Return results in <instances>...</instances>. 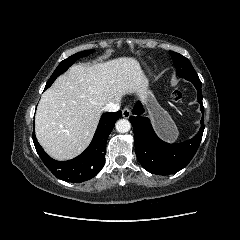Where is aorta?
Returning <instances> with one entry per match:
<instances>
[{"mask_svg":"<svg viewBox=\"0 0 240 240\" xmlns=\"http://www.w3.org/2000/svg\"><path fill=\"white\" fill-rule=\"evenodd\" d=\"M115 128L119 133H127L131 129V123L127 119H120L116 122Z\"/></svg>","mask_w":240,"mask_h":240,"instance_id":"obj_1","label":"aorta"}]
</instances>
